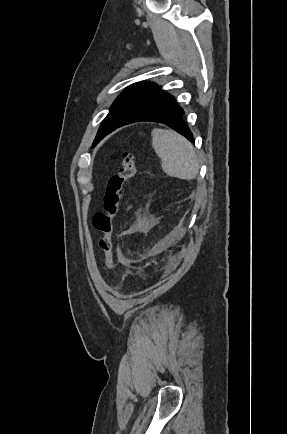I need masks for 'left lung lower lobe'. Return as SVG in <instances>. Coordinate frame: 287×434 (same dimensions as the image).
Here are the masks:
<instances>
[{
  "instance_id": "1",
  "label": "left lung lower lobe",
  "mask_w": 287,
  "mask_h": 434,
  "mask_svg": "<svg viewBox=\"0 0 287 434\" xmlns=\"http://www.w3.org/2000/svg\"><path fill=\"white\" fill-rule=\"evenodd\" d=\"M184 111L174 101L171 95L165 99L155 102L148 107L138 111L128 118L121 126L139 121H153L163 123L185 136L193 142V135L189 127L184 123L182 115ZM120 126V127H121Z\"/></svg>"
}]
</instances>
